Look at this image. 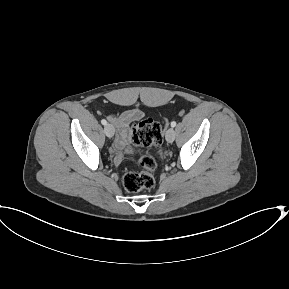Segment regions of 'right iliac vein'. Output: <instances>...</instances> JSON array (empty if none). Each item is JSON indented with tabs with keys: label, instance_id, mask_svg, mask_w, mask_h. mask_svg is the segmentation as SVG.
Segmentation results:
<instances>
[{
	"label": "right iliac vein",
	"instance_id": "obj_1",
	"mask_svg": "<svg viewBox=\"0 0 289 289\" xmlns=\"http://www.w3.org/2000/svg\"><path fill=\"white\" fill-rule=\"evenodd\" d=\"M104 132L107 135V137H113L114 133H115V129H114L113 125L106 124L105 128H104Z\"/></svg>",
	"mask_w": 289,
	"mask_h": 289
}]
</instances>
